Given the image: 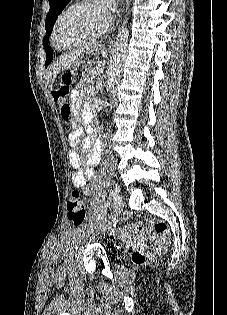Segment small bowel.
Returning <instances> with one entry per match:
<instances>
[{
    "label": "small bowel",
    "instance_id": "1",
    "mask_svg": "<svg viewBox=\"0 0 227 315\" xmlns=\"http://www.w3.org/2000/svg\"><path fill=\"white\" fill-rule=\"evenodd\" d=\"M91 93L89 86L78 84L74 91L73 97L77 103H80L87 95ZM83 130L80 125L74 121L72 123V131L69 135V163L75 169L71 177V183L74 187L82 188L85 196H91L93 191L86 187V182L95 178L94 166L99 161V149L92 143L89 138H82ZM78 144L81 145V150L86 154L83 160L80 151L77 149Z\"/></svg>",
    "mask_w": 227,
    "mask_h": 315
}]
</instances>
